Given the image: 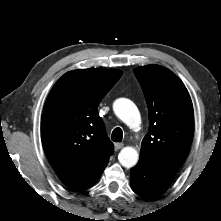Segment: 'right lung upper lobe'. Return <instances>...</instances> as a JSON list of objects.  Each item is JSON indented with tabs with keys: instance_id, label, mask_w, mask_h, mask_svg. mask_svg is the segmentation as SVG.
I'll use <instances>...</instances> for the list:
<instances>
[{
	"instance_id": "right-lung-upper-lobe-1",
	"label": "right lung upper lobe",
	"mask_w": 221,
	"mask_h": 221,
	"mask_svg": "<svg viewBox=\"0 0 221 221\" xmlns=\"http://www.w3.org/2000/svg\"><path fill=\"white\" fill-rule=\"evenodd\" d=\"M121 75L117 69L70 71L47 97L41 120L44 151L72 189L93 186L114 151L97 107Z\"/></svg>"
}]
</instances>
